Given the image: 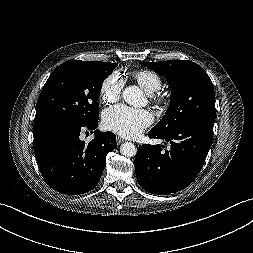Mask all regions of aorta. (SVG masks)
I'll return each instance as SVG.
<instances>
[{"mask_svg": "<svg viewBox=\"0 0 253 253\" xmlns=\"http://www.w3.org/2000/svg\"><path fill=\"white\" fill-rule=\"evenodd\" d=\"M123 98L127 104L135 107L146 105L147 99L142 90L137 86H128L123 91ZM120 152L125 157H132L136 154L137 149L131 142H125L120 147Z\"/></svg>", "mask_w": 253, "mask_h": 253, "instance_id": "obj_1", "label": "aorta"}]
</instances>
